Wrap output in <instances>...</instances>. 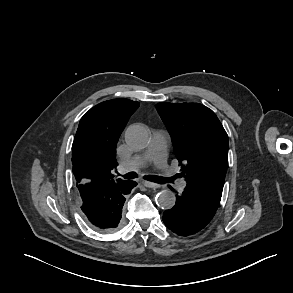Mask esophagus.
I'll list each match as a JSON object with an SVG mask.
<instances>
[{
	"mask_svg": "<svg viewBox=\"0 0 293 293\" xmlns=\"http://www.w3.org/2000/svg\"><path fill=\"white\" fill-rule=\"evenodd\" d=\"M142 184L147 188H158L160 185L150 181H143Z\"/></svg>",
	"mask_w": 293,
	"mask_h": 293,
	"instance_id": "34e87169",
	"label": "esophagus"
}]
</instances>
